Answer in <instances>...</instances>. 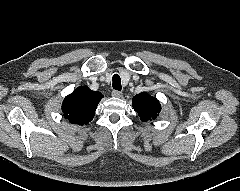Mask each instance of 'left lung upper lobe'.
I'll return each instance as SVG.
<instances>
[{"instance_id": "left-lung-upper-lobe-1", "label": "left lung upper lobe", "mask_w": 240, "mask_h": 191, "mask_svg": "<svg viewBox=\"0 0 240 191\" xmlns=\"http://www.w3.org/2000/svg\"><path fill=\"white\" fill-rule=\"evenodd\" d=\"M132 106L142 121L156 119L161 111L159 101L146 92L135 95L132 99Z\"/></svg>"}]
</instances>
